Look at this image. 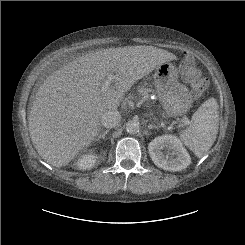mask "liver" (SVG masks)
<instances>
[{
  "label": "liver",
  "instance_id": "1",
  "mask_svg": "<svg viewBox=\"0 0 245 245\" xmlns=\"http://www.w3.org/2000/svg\"><path fill=\"white\" fill-rule=\"evenodd\" d=\"M176 56L153 46H125L89 52L48 76L28 115L31 141L41 158L63 167L100 132V120L117 110L136 81ZM114 75L112 86L102 91Z\"/></svg>",
  "mask_w": 245,
  "mask_h": 245
}]
</instances>
